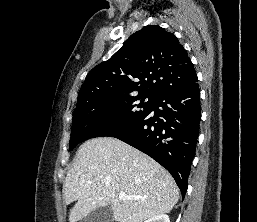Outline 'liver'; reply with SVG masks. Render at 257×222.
Masks as SVG:
<instances>
[{
    "instance_id": "liver-1",
    "label": "liver",
    "mask_w": 257,
    "mask_h": 222,
    "mask_svg": "<svg viewBox=\"0 0 257 222\" xmlns=\"http://www.w3.org/2000/svg\"><path fill=\"white\" fill-rule=\"evenodd\" d=\"M69 222L111 206L116 222H143L169 213L179 199L173 177L148 155L112 137L86 141L76 153L64 184ZM119 192L140 199L120 200Z\"/></svg>"
}]
</instances>
